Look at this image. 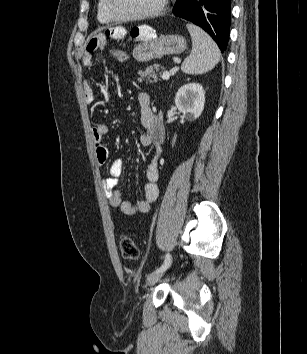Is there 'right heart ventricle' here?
Masks as SVG:
<instances>
[{
    "mask_svg": "<svg viewBox=\"0 0 307 354\" xmlns=\"http://www.w3.org/2000/svg\"><path fill=\"white\" fill-rule=\"evenodd\" d=\"M97 18L102 23H110L114 20L107 12L105 0L97 2Z\"/></svg>",
    "mask_w": 307,
    "mask_h": 354,
    "instance_id": "obj_1",
    "label": "right heart ventricle"
}]
</instances>
